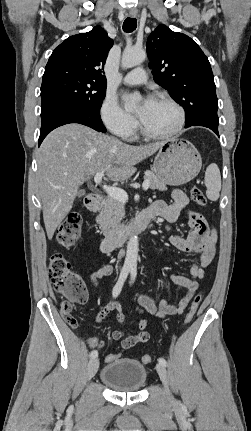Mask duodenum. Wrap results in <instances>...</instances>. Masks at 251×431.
<instances>
[{"mask_svg": "<svg viewBox=\"0 0 251 431\" xmlns=\"http://www.w3.org/2000/svg\"><path fill=\"white\" fill-rule=\"evenodd\" d=\"M103 203V198L99 195H90L86 199V206L92 211H96L101 208ZM152 218L153 214L150 211H142L126 228L108 233L100 243V250L103 253H109L121 247L128 237L146 229Z\"/></svg>", "mask_w": 251, "mask_h": 431, "instance_id": "obj_1", "label": "duodenum"}]
</instances>
